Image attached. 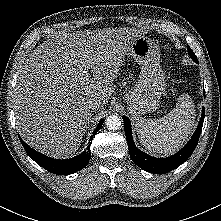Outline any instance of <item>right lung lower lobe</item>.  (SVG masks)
I'll list each match as a JSON object with an SVG mask.
<instances>
[{
  "mask_svg": "<svg viewBox=\"0 0 221 221\" xmlns=\"http://www.w3.org/2000/svg\"><path fill=\"white\" fill-rule=\"evenodd\" d=\"M104 123V119L100 120L98 126L93 132V135L91 136L90 141H92V137L94 134L100 129L101 125ZM20 141L26 151V153L29 155L31 159H33L37 164H39L41 167L45 168L47 171L58 174V175H65V174H72L76 171H79L87 166L91 152H90V144L87 146L88 149L86 151H83L78 156H75L70 159H53L46 155H43L34 149L30 148L19 136Z\"/></svg>",
  "mask_w": 221,
  "mask_h": 221,
  "instance_id": "right-lung-lower-lobe-1",
  "label": "right lung lower lobe"
}]
</instances>
